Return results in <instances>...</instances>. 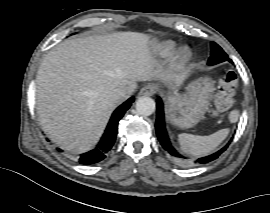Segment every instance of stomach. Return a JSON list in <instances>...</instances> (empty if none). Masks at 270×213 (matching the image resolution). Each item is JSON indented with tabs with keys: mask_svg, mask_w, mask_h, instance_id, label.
Returning <instances> with one entry per match:
<instances>
[{
	"mask_svg": "<svg viewBox=\"0 0 270 213\" xmlns=\"http://www.w3.org/2000/svg\"><path fill=\"white\" fill-rule=\"evenodd\" d=\"M214 85L210 78L201 77L186 87L185 93L173 91L165 96L168 120L179 128H192L208 108Z\"/></svg>",
	"mask_w": 270,
	"mask_h": 213,
	"instance_id": "0dacf381",
	"label": "stomach"
}]
</instances>
